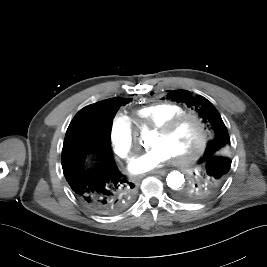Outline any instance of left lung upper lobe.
<instances>
[{"label":"left lung upper lobe","instance_id":"left-lung-upper-lobe-1","mask_svg":"<svg viewBox=\"0 0 267 267\" xmlns=\"http://www.w3.org/2000/svg\"><path fill=\"white\" fill-rule=\"evenodd\" d=\"M167 99L184 103L195 109L203 123L212 130L213 139L208 142L204 155L207 153H224L230 157V137L227 128L219 112L209 100L203 96L195 98L191 92L181 89L168 93Z\"/></svg>","mask_w":267,"mask_h":267}]
</instances>
